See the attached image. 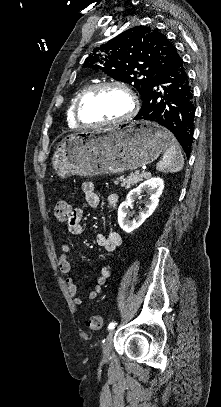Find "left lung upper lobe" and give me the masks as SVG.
<instances>
[{
    "label": "left lung upper lobe",
    "instance_id": "left-lung-upper-lobe-1",
    "mask_svg": "<svg viewBox=\"0 0 221 407\" xmlns=\"http://www.w3.org/2000/svg\"><path fill=\"white\" fill-rule=\"evenodd\" d=\"M172 48L166 36L156 29L135 26L95 48L83 67L132 84L142 97L151 79L169 60Z\"/></svg>",
    "mask_w": 221,
    "mask_h": 407
}]
</instances>
